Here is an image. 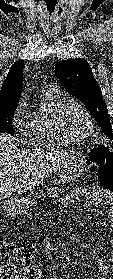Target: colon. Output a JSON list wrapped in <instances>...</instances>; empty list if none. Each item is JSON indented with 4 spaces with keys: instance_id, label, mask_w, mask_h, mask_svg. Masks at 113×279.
Listing matches in <instances>:
<instances>
[{
    "instance_id": "obj_1",
    "label": "colon",
    "mask_w": 113,
    "mask_h": 279,
    "mask_svg": "<svg viewBox=\"0 0 113 279\" xmlns=\"http://www.w3.org/2000/svg\"><path fill=\"white\" fill-rule=\"evenodd\" d=\"M90 160L98 166L97 178L102 189L113 190V152L105 146H98L91 150ZM2 221V220H1ZM2 230V225L0 226ZM1 232V231H0ZM11 254V256H9ZM31 257V248L17 247L0 237V274L9 276L10 264L20 266ZM29 268V269H28ZM25 269V268H24ZM23 269V270H24ZM29 277L37 276V267L28 265Z\"/></svg>"
}]
</instances>
